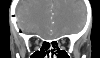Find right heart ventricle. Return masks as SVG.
I'll return each instance as SVG.
<instances>
[{"mask_svg": "<svg viewBox=\"0 0 100 58\" xmlns=\"http://www.w3.org/2000/svg\"><path fill=\"white\" fill-rule=\"evenodd\" d=\"M38 6H45V5H43L42 3H38Z\"/></svg>", "mask_w": 100, "mask_h": 58, "instance_id": "e07e8e85", "label": "right heart ventricle"}]
</instances>
